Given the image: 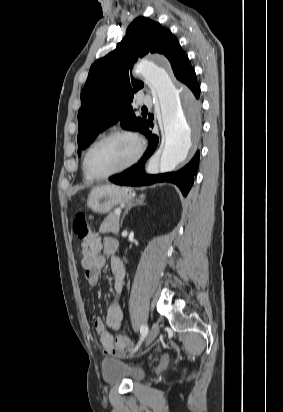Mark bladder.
Returning <instances> with one entry per match:
<instances>
[{"instance_id":"31cf9c89","label":"bladder","mask_w":283,"mask_h":412,"mask_svg":"<svg viewBox=\"0 0 283 412\" xmlns=\"http://www.w3.org/2000/svg\"><path fill=\"white\" fill-rule=\"evenodd\" d=\"M101 374L105 382L117 384L124 380L132 384L139 383L145 378V370L133 367L122 360L106 359L101 364Z\"/></svg>"}]
</instances>
